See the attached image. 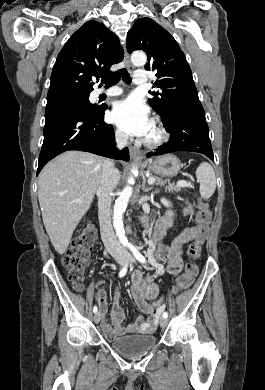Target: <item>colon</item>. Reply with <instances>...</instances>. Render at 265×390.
Masks as SVG:
<instances>
[{"label": "colon", "instance_id": "colon-1", "mask_svg": "<svg viewBox=\"0 0 265 390\" xmlns=\"http://www.w3.org/2000/svg\"><path fill=\"white\" fill-rule=\"evenodd\" d=\"M210 209L207 203L201 202L200 210L197 213V224L204 226L210 219ZM97 231L93 225L87 226L78 236H76L68 247L62 264L66 271L69 282L77 290L83 289L85 272L90 262V254L95 245ZM203 244V237L198 236L188 249L189 256L195 260L200 254V249ZM197 274V266L194 263H189L185 271L177 277L174 286V292H178L188 288L195 275ZM156 313H160L166 307L164 298L156 300L153 304Z\"/></svg>", "mask_w": 265, "mask_h": 390}]
</instances>
